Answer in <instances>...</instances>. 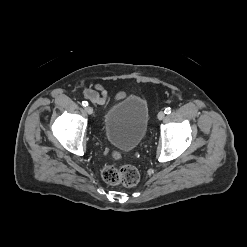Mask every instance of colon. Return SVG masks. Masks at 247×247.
Returning a JSON list of instances; mask_svg holds the SVG:
<instances>
[{"label":"colon","instance_id":"1","mask_svg":"<svg viewBox=\"0 0 247 247\" xmlns=\"http://www.w3.org/2000/svg\"><path fill=\"white\" fill-rule=\"evenodd\" d=\"M112 157L114 160H119L121 155L119 152L114 151ZM101 176L107 184L125 187L135 186L140 178L138 170L129 164H124L120 167L110 164L105 165L101 170Z\"/></svg>","mask_w":247,"mask_h":247}]
</instances>
